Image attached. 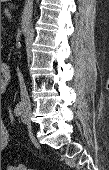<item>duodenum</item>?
I'll use <instances>...</instances> for the list:
<instances>
[{"instance_id": "1", "label": "duodenum", "mask_w": 109, "mask_h": 170, "mask_svg": "<svg viewBox=\"0 0 109 170\" xmlns=\"http://www.w3.org/2000/svg\"><path fill=\"white\" fill-rule=\"evenodd\" d=\"M10 76V67L7 63L1 64V91H6Z\"/></svg>"}]
</instances>
